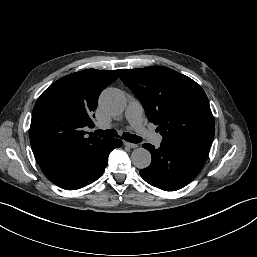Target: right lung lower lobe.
I'll return each mask as SVG.
<instances>
[{
    "mask_svg": "<svg viewBox=\"0 0 257 257\" xmlns=\"http://www.w3.org/2000/svg\"><path fill=\"white\" fill-rule=\"evenodd\" d=\"M122 146L119 139H108L89 147L80 154L41 168L46 177L66 190L82 188L96 181L104 172L109 153Z\"/></svg>",
    "mask_w": 257,
    "mask_h": 257,
    "instance_id": "98d812e1",
    "label": "right lung lower lobe"
}]
</instances>
